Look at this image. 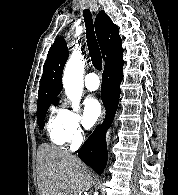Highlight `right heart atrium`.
<instances>
[{"label": "right heart atrium", "instance_id": "1", "mask_svg": "<svg viewBox=\"0 0 178 195\" xmlns=\"http://www.w3.org/2000/svg\"><path fill=\"white\" fill-rule=\"evenodd\" d=\"M63 118L68 141L74 144L81 142L84 138V131L80 115L73 110L65 109Z\"/></svg>", "mask_w": 178, "mask_h": 195}]
</instances>
